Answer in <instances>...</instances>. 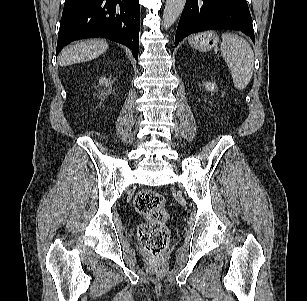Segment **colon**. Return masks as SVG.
<instances>
[{"label":"colon","instance_id":"colon-1","mask_svg":"<svg viewBox=\"0 0 307 301\" xmlns=\"http://www.w3.org/2000/svg\"><path fill=\"white\" fill-rule=\"evenodd\" d=\"M134 207L145 219L137 229L141 248L151 256L161 255L168 245L170 236L166 225L168 213L163 196L152 189L140 190L134 198Z\"/></svg>","mask_w":307,"mask_h":301}]
</instances>
